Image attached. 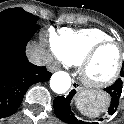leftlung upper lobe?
<instances>
[{
    "label": "left lung upper lobe",
    "instance_id": "1",
    "mask_svg": "<svg viewBox=\"0 0 124 124\" xmlns=\"http://www.w3.org/2000/svg\"><path fill=\"white\" fill-rule=\"evenodd\" d=\"M120 76H121V77H124L123 70L121 71Z\"/></svg>",
    "mask_w": 124,
    "mask_h": 124
}]
</instances>
